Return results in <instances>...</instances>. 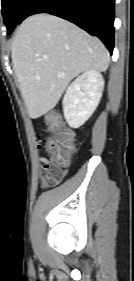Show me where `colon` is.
Returning a JSON list of instances; mask_svg holds the SVG:
<instances>
[{
	"label": "colon",
	"mask_w": 134,
	"mask_h": 281,
	"mask_svg": "<svg viewBox=\"0 0 134 281\" xmlns=\"http://www.w3.org/2000/svg\"><path fill=\"white\" fill-rule=\"evenodd\" d=\"M46 122L53 133L47 142V151L52 160L66 170L74 152L73 132L64 125L60 115L55 112L47 115Z\"/></svg>",
	"instance_id": "obj_1"
}]
</instances>
